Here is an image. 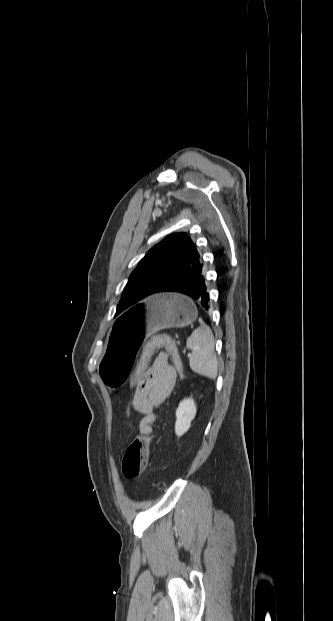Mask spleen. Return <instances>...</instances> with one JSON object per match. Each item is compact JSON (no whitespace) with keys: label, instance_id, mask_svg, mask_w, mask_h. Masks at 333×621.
Masks as SVG:
<instances>
[{"label":"spleen","instance_id":"3e777b00","mask_svg":"<svg viewBox=\"0 0 333 621\" xmlns=\"http://www.w3.org/2000/svg\"><path fill=\"white\" fill-rule=\"evenodd\" d=\"M200 327L187 339L186 347L192 351L189 365L193 372L215 379L218 373V360L215 353L214 336L204 321L199 319Z\"/></svg>","mask_w":333,"mask_h":621}]
</instances>
